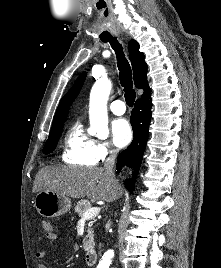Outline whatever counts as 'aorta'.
<instances>
[{
	"label": "aorta",
	"mask_w": 221,
	"mask_h": 268,
	"mask_svg": "<svg viewBox=\"0 0 221 268\" xmlns=\"http://www.w3.org/2000/svg\"><path fill=\"white\" fill-rule=\"evenodd\" d=\"M111 81L107 78L98 79L93 85L90 93L89 102V120L92 134L99 138H106L109 134L108 130V115L107 101L111 91ZM113 256V251L109 250L106 253V258L110 259Z\"/></svg>",
	"instance_id": "762f6f07"
}]
</instances>
